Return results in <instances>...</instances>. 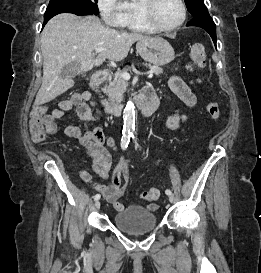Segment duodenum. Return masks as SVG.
Segmentation results:
<instances>
[{
  "instance_id": "410a0bca",
  "label": "duodenum",
  "mask_w": 261,
  "mask_h": 273,
  "mask_svg": "<svg viewBox=\"0 0 261 273\" xmlns=\"http://www.w3.org/2000/svg\"><path fill=\"white\" fill-rule=\"evenodd\" d=\"M108 74L106 72H98L96 73L91 80V87L97 88L102 83H104L107 79ZM136 106L140 109L143 117L150 116L157 107V101L152 91L149 89L143 90L135 100ZM125 104L124 103H115V104H107L106 112L109 115H121L124 112Z\"/></svg>"
}]
</instances>
